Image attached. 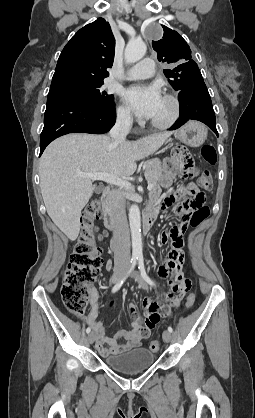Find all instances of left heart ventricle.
<instances>
[{"label":"left heart ventricle","instance_id":"1","mask_svg":"<svg viewBox=\"0 0 255 418\" xmlns=\"http://www.w3.org/2000/svg\"><path fill=\"white\" fill-rule=\"evenodd\" d=\"M170 113H171V104L169 103V101H167L163 97L157 111L155 112V114L153 115L151 119L157 120V121H163L169 117Z\"/></svg>","mask_w":255,"mask_h":418}]
</instances>
